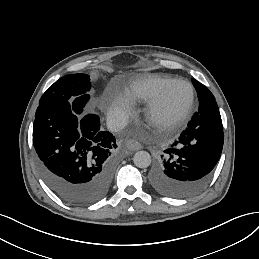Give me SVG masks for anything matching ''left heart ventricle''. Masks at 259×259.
Wrapping results in <instances>:
<instances>
[{
  "mask_svg": "<svg viewBox=\"0 0 259 259\" xmlns=\"http://www.w3.org/2000/svg\"><path fill=\"white\" fill-rule=\"evenodd\" d=\"M146 79V94L156 102L158 109L151 116L156 122L163 123L180 112L189 102L190 88L182 81L161 83L151 76Z\"/></svg>",
  "mask_w": 259,
  "mask_h": 259,
  "instance_id": "left-heart-ventricle-1",
  "label": "left heart ventricle"
}]
</instances>
